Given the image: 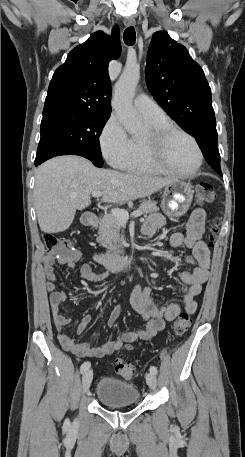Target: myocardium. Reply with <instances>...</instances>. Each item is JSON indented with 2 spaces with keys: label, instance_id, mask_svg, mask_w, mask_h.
<instances>
[{
  "label": "myocardium",
  "instance_id": "obj_1",
  "mask_svg": "<svg viewBox=\"0 0 245 457\" xmlns=\"http://www.w3.org/2000/svg\"><path fill=\"white\" fill-rule=\"evenodd\" d=\"M177 133L184 135L186 138H188L190 140V142L192 144L191 146L196 154V157H197L196 165L190 171H178V170L169 168L167 166H164L161 163H159L158 161H156L150 153V138L155 139L158 144L164 145L167 143V141L169 140V138L172 135L177 134ZM140 154H141L143 160L154 170L160 171L163 173H167V174H171V175L182 176V177H187V176H191V175L195 174L201 167L202 161H203V155L198 146L196 139L190 133H188L181 127L171 124V123L151 126L148 130V134L146 136H142L140 138Z\"/></svg>",
  "mask_w": 245,
  "mask_h": 457
}]
</instances>
